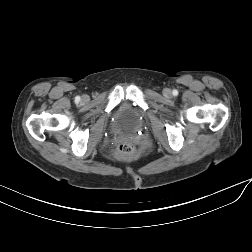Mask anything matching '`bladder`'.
<instances>
[{"label":"bladder","mask_w":252,"mask_h":252,"mask_svg":"<svg viewBox=\"0 0 252 252\" xmlns=\"http://www.w3.org/2000/svg\"><path fill=\"white\" fill-rule=\"evenodd\" d=\"M115 122L120 131L132 132L141 125L142 114L131 106L124 104L118 110Z\"/></svg>","instance_id":"obj_1"}]
</instances>
